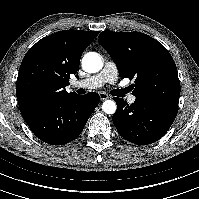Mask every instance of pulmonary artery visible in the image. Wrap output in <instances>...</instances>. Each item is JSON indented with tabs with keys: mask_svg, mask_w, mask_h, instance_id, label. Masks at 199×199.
<instances>
[{
	"mask_svg": "<svg viewBox=\"0 0 199 199\" xmlns=\"http://www.w3.org/2000/svg\"><path fill=\"white\" fill-rule=\"evenodd\" d=\"M118 79V70L116 65L111 61H106L103 69L86 79L74 81L72 83L73 88H83V89H96L102 87L106 83L114 84ZM130 104L136 102V96L130 95L127 98Z\"/></svg>",
	"mask_w": 199,
	"mask_h": 199,
	"instance_id": "1",
	"label": "pulmonary artery"
}]
</instances>
